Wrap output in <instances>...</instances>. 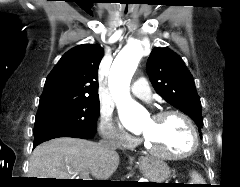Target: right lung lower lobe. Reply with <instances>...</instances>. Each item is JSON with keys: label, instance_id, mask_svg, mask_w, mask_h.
I'll list each match as a JSON object with an SVG mask.
<instances>
[{"label": "right lung lower lobe", "instance_id": "right-lung-lower-lobe-1", "mask_svg": "<svg viewBox=\"0 0 240 187\" xmlns=\"http://www.w3.org/2000/svg\"><path fill=\"white\" fill-rule=\"evenodd\" d=\"M93 136H94V134L86 136L83 134H78V133L65 131V130H59V129L48 130L41 134L35 135L33 147H36L37 145L41 144L42 142L48 141L53 138H58V137H74V138L90 139Z\"/></svg>", "mask_w": 240, "mask_h": 187}]
</instances>
